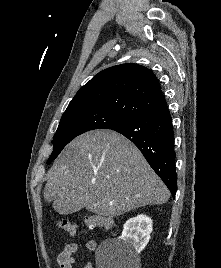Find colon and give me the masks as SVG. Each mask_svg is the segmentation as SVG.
Segmentation results:
<instances>
[{"label": "colon", "instance_id": "colon-1", "mask_svg": "<svg viewBox=\"0 0 221 268\" xmlns=\"http://www.w3.org/2000/svg\"><path fill=\"white\" fill-rule=\"evenodd\" d=\"M56 224L60 229L70 235H75L77 232V226L67 219L58 220ZM85 225L88 230H94L95 228L109 230L113 227V221L102 215H91L85 218Z\"/></svg>", "mask_w": 221, "mask_h": 268}]
</instances>
